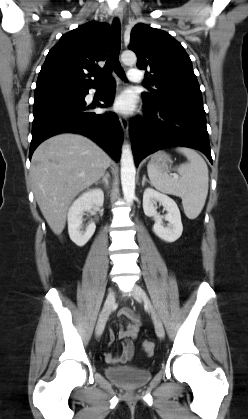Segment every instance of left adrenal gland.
Returning a JSON list of instances; mask_svg holds the SVG:
<instances>
[{
  "instance_id": "1",
  "label": "left adrenal gland",
  "mask_w": 248,
  "mask_h": 419,
  "mask_svg": "<svg viewBox=\"0 0 248 419\" xmlns=\"http://www.w3.org/2000/svg\"><path fill=\"white\" fill-rule=\"evenodd\" d=\"M145 182H149V181L146 179V176L144 175L143 176V179H142V186L145 185Z\"/></svg>"
}]
</instances>
